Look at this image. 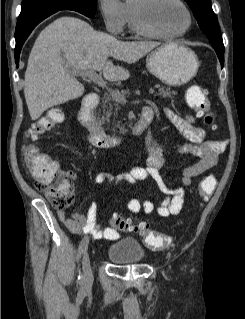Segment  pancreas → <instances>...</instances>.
<instances>
[{"mask_svg": "<svg viewBox=\"0 0 245 319\" xmlns=\"http://www.w3.org/2000/svg\"><path fill=\"white\" fill-rule=\"evenodd\" d=\"M156 88L158 89L156 93L157 96H162L163 98L172 97V92L170 91V88L160 86L159 84L156 85ZM121 93L124 95H127V94H130V91L129 89L122 90ZM102 108H103V111H102V115L100 116L101 122L110 123V117L113 116L114 128L112 130L115 131V128H118L122 132L125 131V127L120 124L121 122L116 121V114H117V111L119 110L118 101H116L110 95H107L105 97V100L102 103Z\"/></svg>", "mask_w": 245, "mask_h": 319, "instance_id": "obj_1", "label": "pancreas"}]
</instances>
